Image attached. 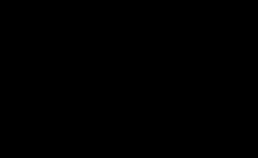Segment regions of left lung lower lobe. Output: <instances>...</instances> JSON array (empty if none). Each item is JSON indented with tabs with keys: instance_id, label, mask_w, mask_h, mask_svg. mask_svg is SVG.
<instances>
[{
	"instance_id": "1",
	"label": "left lung lower lobe",
	"mask_w": 258,
	"mask_h": 158,
	"mask_svg": "<svg viewBox=\"0 0 258 158\" xmlns=\"http://www.w3.org/2000/svg\"><path fill=\"white\" fill-rule=\"evenodd\" d=\"M209 78L210 66L199 47L162 85L142 91L147 105L138 113L141 124L160 134H175L188 127L206 105Z\"/></svg>"
}]
</instances>
